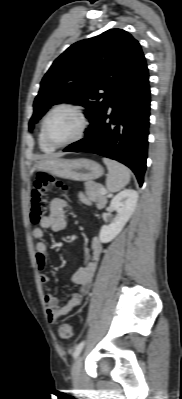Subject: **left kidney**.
Listing matches in <instances>:
<instances>
[{
  "label": "left kidney",
  "instance_id": "1",
  "mask_svg": "<svg viewBox=\"0 0 182 399\" xmlns=\"http://www.w3.org/2000/svg\"><path fill=\"white\" fill-rule=\"evenodd\" d=\"M137 201L138 193L133 189H126L111 200L110 208L117 212V217L109 225L102 226L99 233L101 243L112 241L122 231L132 216Z\"/></svg>",
  "mask_w": 182,
  "mask_h": 399
}]
</instances>
